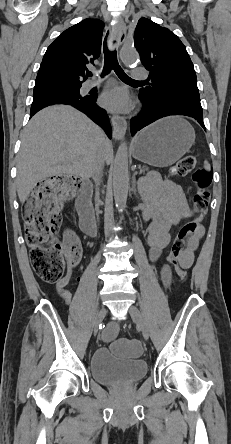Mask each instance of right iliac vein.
Returning <instances> with one entry per match:
<instances>
[{"mask_svg": "<svg viewBox=\"0 0 231 444\" xmlns=\"http://www.w3.org/2000/svg\"><path fill=\"white\" fill-rule=\"evenodd\" d=\"M105 315H106V309L103 307V308L100 310V312H99V314H98V316H97V319H96V321H95V323H94V327H93L94 335L97 334L98 329H99V326H100L101 322L103 321Z\"/></svg>", "mask_w": 231, "mask_h": 444, "instance_id": "obj_1", "label": "right iliac vein"}]
</instances>
